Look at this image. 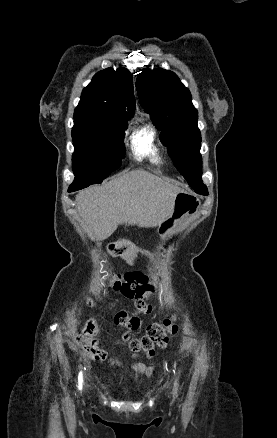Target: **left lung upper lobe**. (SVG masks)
I'll list each match as a JSON object with an SVG mask.
<instances>
[{
    "label": "left lung upper lobe",
    "instance_id": "left-lung-upper-lobe-1",
    "mask_svg": "<svg viewBox=\"0 0 277 438\" xmlns=\"http://www.w3.org/2000/svg\"><path fill=\"white\" fill-rule=\"evenodd\" d=\"M136 87L141 106L161 131L160 139L168 147L174 165L196 193L208 195L201 179L198 112L190 91L175 73L162 68L143 69Z\"/></svg>",
    "mask_w": 277,
    "mask_h": 438
}]
</instances>
